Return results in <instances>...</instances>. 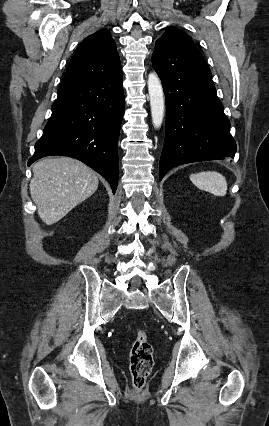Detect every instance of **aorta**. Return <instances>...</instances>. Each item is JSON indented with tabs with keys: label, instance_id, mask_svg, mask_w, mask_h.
Returning <instances> with one entry per match:
<instances>
[{
	"label": "aorta",
	"instance_id": "aorta-1",
	"mask_svg": "<svg viewBox=\"0 0 269 426\" xmlns=\"http://www.w3.org/2000/svg\"><path fill=\"white\" fill-rule=\"evenodd\" d=\"M148 92L150 98L152 123L155 128H160L164 118V93L161 81L155 72L148 75Z\"/></svg>",
	"mask_w": 269,
	"mask_h": 426
}]
</instances>
